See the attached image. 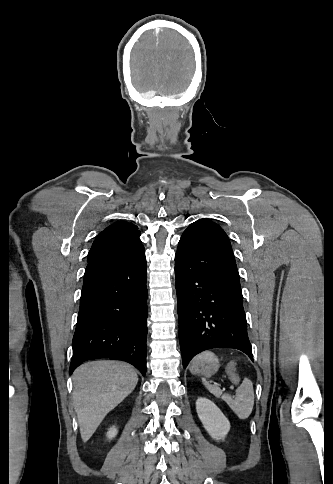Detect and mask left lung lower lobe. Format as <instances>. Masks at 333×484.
Returning <instances> with one entry per match:
<instances>
[{
    "instance_id": "obj_1",
    "label": "left lung lower lobe",
    "mask_w": 333,
    "mask_h": 484,
    "mask_svg": "<svg viewBox=\"0 0 333 484\" xmlns=\"http://www.w3.org/2000/svg\"><path fill=\"white\" fill-rule=\"evenodd\" d=\"M183 367L198 353L235 348L253 361L239 274L228 236L208 219L192 223L175 255Z\"/></svg>"
}]
</instances>
